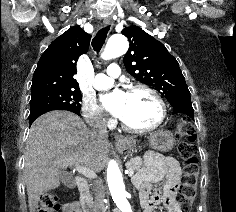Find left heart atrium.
Returning a JSON list of instances; mask_svg holds the SVG:
<instances>
[{"label": "left heart atrium", "instance_id": "left-heart-atrium-1", "mask_svg": "<svg viewBox=\"0 0 236 212\" xmlns=\"http://www.w3.org/2000/svg\"><path fill=\"white\" fill-rule=\"evenodd\" d=\"M126 96L123 91L114 90L102 97V103L110 113L121 118L125 110Z\"/></svg>", "mask_w": 236, "mask_h": 212}]
</instances>
